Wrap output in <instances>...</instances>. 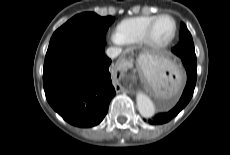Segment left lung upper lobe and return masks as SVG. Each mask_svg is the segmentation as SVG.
Instances as JSON below:
<instances>
[{
  "label": "left lung upper lobe",
  "instance_id": "1",
  "mask_svg": "<svg viewBox=\"0 0 230 155\" xmlns=\"http://www.w3.org/2000/svg\"><path fill=\"white\" fill-rule=\"evenodd\" d=\"M172 51L181 58L192 57L196 60L192 36L184 23L180 25L179 43Z\"/></svg>",
  "mask_w": 230,
  "mask_h": 155
}]
</instances>
